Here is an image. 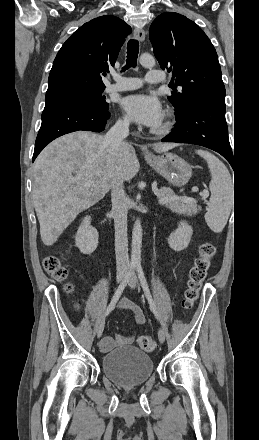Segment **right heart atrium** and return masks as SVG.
Segmentation results:
<instances>
[{
	"label": "right heart atrium",
	"mask_w": 259,
	"mask_h": 440,
	"mask_svg": "<svg viewBox=\"0 0 259 440\" xmlns=\"http://www.w3.org/2000/svg\"><path fill=\"white\" fill-rule=\"evenodd\" d=\"M118 125L120 126H127L128 125V119L125 116H122L118 119Z\"/></svg>",
	"instance_id": "d8ad5b80"
}]
</instances>
